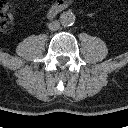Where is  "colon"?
Returning a JSON list of instances; mask_svg holds the SVG:
<instances>
[{"label": "colon", "instance_id": "5ec220e1", "mask_svg": "<svg viewBox=\"0 0 128 128\" xmlns=\"http://www.w3.org/2000/svg\"><path fill=\"white\" fill-rule=\"evenodd\" d=\"M12 22L10 7L3 0H0V32H9L12 29Z\"/></svg>", "mask_w": 128, "mask_h": 128}]
</instances>
